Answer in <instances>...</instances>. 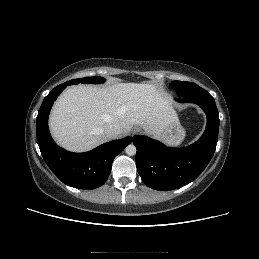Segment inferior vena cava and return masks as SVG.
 <instances>
[{
	"label": "inferior vena cava",
	"mask_w": 259,
	"mask_h": 259,
	"mask_svg": "<svg viewBox=\"0 0 259 259\" xmlns=\"http://www.w3.org/2000/svg\"><path fill=\"white\" fill-rule=\"evenodd\" d=\"M122 129L119 125L116 124H111L109 125L104 133L105 135L109 138V139H115L117 137H119V135L121 134Z\"/></svg>",
	"instance_id": "obj_1"
}]
</instances>
